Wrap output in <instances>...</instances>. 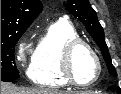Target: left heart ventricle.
<instances>
[{
  "instance_id": "left-heart-ventricle-1",
  "label": "left heart ventricle",
  "mask_w": 121,
  "mask_h": 94,
  "mask_svg": "<svg viewBox=\"0 0 121 94\" xmlns=\"http://www.w3.org/2000/svg\"><path fill=\"white\" fill-rule=\"evenodd\" d=\"M72 71L76 79L82 83L90 82L96 77V61L84 46H79L73 54Z\"/></svg>"
}]
</instances>
